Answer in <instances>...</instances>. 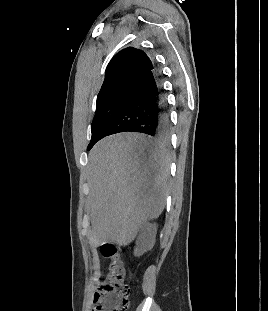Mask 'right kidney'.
I'll use <instances>...</instances> for the list:
<instances>
[{"label": "right kidney", "mask_w": 268, "mask_h": 311, "mask_svg": "<svg viewBox=\"0 0 268 311\" xmlns=\"http://www.w3.org/2000/svg\"><path fill=\"white\" fill-rule=\"evenodd\" d=\"M156 224H147L139 234L136 241V248L134 250L135 256H141L144 252L150 250L155 243Z\"/></svg>", "instance_id": "ca27d5eb"}]
</instances>
